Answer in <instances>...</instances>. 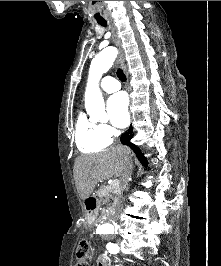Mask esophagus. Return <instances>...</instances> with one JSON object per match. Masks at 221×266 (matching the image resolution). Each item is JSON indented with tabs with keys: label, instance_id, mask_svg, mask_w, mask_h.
Here are the masks:
<instances>
[{
	"label": "esophagus",
	"instance_id": "esophagus-1",
	"mask_svg": "<svg viewBox=\"0 0 221 266\" xmlns=\"http://www.w3.org/2000/svg\"><path fill=\"white\" fill-rule=\"evenodd\" d=\"M110 26H111L113 41H114L116 47L118 48L117 62L121 66H123L124 65V54H123V51L121 49V42H120V38L118 36L117 28L115 27L113 22H111Z\"/></svg>",
	"mask_w": 221,
	"mask_h": 266
}]
</instances>
